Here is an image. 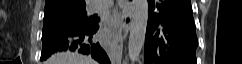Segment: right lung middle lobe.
I'll list each match as a JSON object with an SVG mask.
<instances>
[{"label": "right lung middle lobe", "mask_w": 242, "mask_h": 64, "mask_svg": "<svg viewBox=\"0 0 242 64\" xmlns=\"http://www.w3.org/2000/svg\"><path fill=\"white\" fill-rule=\"evenodd\" d=\"M85 6L44 13L43 48L56 38L95 27L99 18L87 17Z\"/></svg>", "instance_id": "dd1d6c3e"}]
</instances>
